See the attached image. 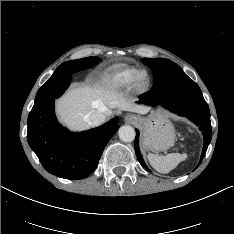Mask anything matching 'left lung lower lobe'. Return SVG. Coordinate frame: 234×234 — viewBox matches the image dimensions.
Wrapping results in <instances>:
<instances>
[{
    "label": "left lung lower lobe",
    "mask_w": 234,
    "mask_h": 234,
    "mask_svg": "<svg viewBox=\"0 0 234 234\" xmlns=\"http://www.w3.org/2000/svg\"><path fill=\"white\" fill-rule=\"evenodd\" d=\"M139 102L152 106L162 105L178 115L187 116L199 126L204 136V147L200 162L203 160L212 138L210 112L200 88L192 79L186 76L173 80L159 88H153L140 95ZM135 152L140 164L150 172L139 150V131L137 129Z\"/></svg>",
    "instance_id": "left-lung-lower-lobe-1"
}]
</instances>
